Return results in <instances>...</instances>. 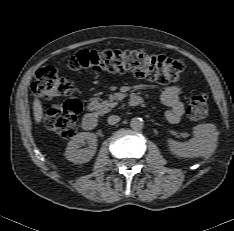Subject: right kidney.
<instances>
[{
	"mask_svg": "<svg viewBox=\"0 0 234 231\" xmlns=\"http://www.w3.org/2000/svg\"><path fill=\"white\" fill-rule=\"evenodd\" d=\"M88 144L86 148L81 146ZM97 150V137L94 133L81 132L75 135L68 143L65 157L75 164L86 163L94 156Z\"/></svg>",
	"mask_w": 234,
	"mask_h": 231,
	"instance_id": "1",
	"label": "right kidney"
}]
</instances>
